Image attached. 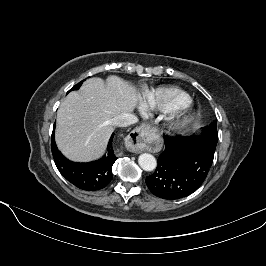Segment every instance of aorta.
I'll return each instance as SVG.
<instances>
[{
    "label": "aorta",
    "mask_w": 266,
    "mask_h": 266,
    "mask_svg": "<svg viewBox=\"0 0 266 266\" xmlns=\"http://www.w3.org/2000/svg\"><path fill=\"white\" fill-rule=\"evenodd\" d=\"M138 163L145 171H153L157 166L155 157L148 153L141 154L138 158Z\"/></svg>",
    "instance_id": "762f6f07"
}]
</instances>
